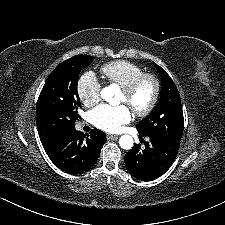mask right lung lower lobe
Instances as JSON below:
<instances>
[{
	"mask_svg": "<svg viewBox=\"0 0 225 225\" xmlns=\"http://www.w3.org/2000/svg\"><path fill=\"white\" fill-rule=\"evenodd\" d=\"M105 142V133L98 129H92L87 135L73 129L43 147L58 168L70 174H79L96 163Z\"/></svg>",
	"mask_w": 225,
	"mask_h": 225,
	"instance_id": "1",
	"label": "right lung lower lobe"
}]
</instances>
